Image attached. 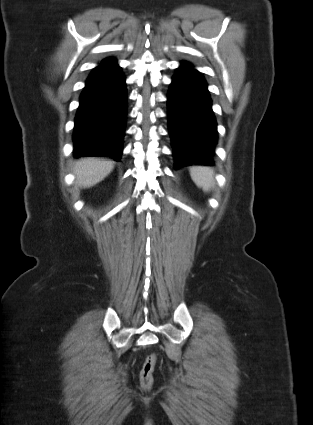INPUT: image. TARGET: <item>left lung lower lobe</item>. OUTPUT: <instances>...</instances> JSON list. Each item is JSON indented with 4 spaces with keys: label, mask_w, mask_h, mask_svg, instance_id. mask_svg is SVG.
<instances>
[{
    "label": "left lung lower lobe",
    "mask_w": 313,
    "mask_h": 425,
    "mask_svg": "<svg viewBox=\"0 0 313 425\" xmlns=\"http://www.w3.org/2000/svg\"><path fill=\"white\" fill-rule=\"evenodd\" d=\"M168 124L175 168L212 165L217 123L204 77L188 62H181L168 93Z\"/></svg>",
    "instance_id": "left-lung-lower-lobe-1"
}]
</instances>
